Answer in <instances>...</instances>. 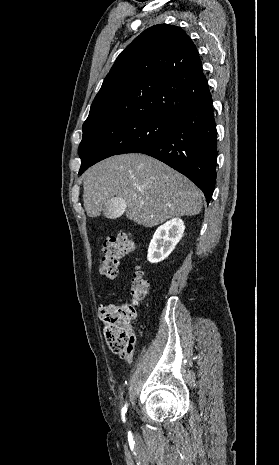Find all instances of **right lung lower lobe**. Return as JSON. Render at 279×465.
I'll return each mask as SVG.
<instances>
[{
  "label": "right lung lower lobe",
  "instance_id": "obj_1",
  "mask_svg": "<svg viewBox=\"0 0 279 465\" xmlns=\"http://www.w3.org/2000/svg\"><path fill=\"white\" fill-rule=\"evenodd\" d=\"M213 101L176 115L171 129L138 153L152 156L194 182L210 202L216 182L217 132Z\"/></svg>",
  "mask_w": 279,
  "mask_h": 465
}]
</instances>
